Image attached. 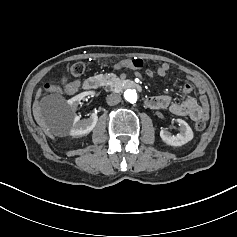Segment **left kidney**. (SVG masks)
<instances>
[{
    "label": "left kidney",
    "mask_w": 237,
    "mask_h": 237,
    "mask_svg": "<svg viewBox=\"0 0 237 237\" xmlns=\"http://www.w3.org/2000/svg\"><path fill=\"white\" fill-rule=\"evenodd\" d=\"M178 123L180 130L182 131L181 133L173 135L165 130L160 131V137L164 143L170 146L179 147L193 139L194 133L188 123L182 119H178Z\"/></svg>",
    "instance_id": "1"
}]
</instances>
